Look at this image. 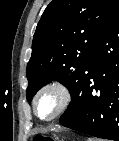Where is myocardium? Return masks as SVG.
Masks as SVG:
<instances>
[{
    "label": "myocardium",
    "mask_w": 119,
    "mask_h": 141,
    "mask_svg": "<svg viewBox=\"0 0 119 141\" xmlns=\"http://www.w3.org/2000/svg\"><path fill=\"white\" fill-rule=\"evenodd\" d=\"M48 92H54L58 96V104L55 111L48 117H41L37 111V103L40 97ZM72 102V92L70 88L62 81H50L44 84L35 93L32 101L34 115L41 121L50 122L61 116Z\"/></svg>",
    "instance_id": "myocardium-1"
}]
</instances>
